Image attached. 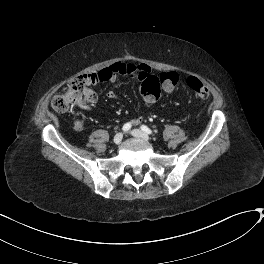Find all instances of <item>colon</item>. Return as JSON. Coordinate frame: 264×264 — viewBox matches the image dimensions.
Returning a JSON list of instances; mask_svg holds the SVG:
<instances>
[{"instance_id":"1","label":"colon","mask_w":264,"mask_h":264,"mask_svg":"<svg viewBox=\"0 0 264 264\" xmlns=\"http://www.w3.org/2000/svg\"><path fill=\"white\" fill-rule=\"evenodd\" d=\"M120 74H126L128 70L122 66L119 68ZM180 80L177 71L163 72L159 76H150L146 78L141 85V95L147 100L155 99L160 95L161 89L172 90ZM187 85L193 90L199 99H207L209 96L208 89L203 83L195 77L187 79ZM97 99L96 91L91 88L90 84L83 78L77 77L67 82L61 92L55 94L52 98L51 105L58 112H65L73 107L86 109L90 107ZM76 128H83V119L75 120Z\"/></svg>"}]
</instances>
